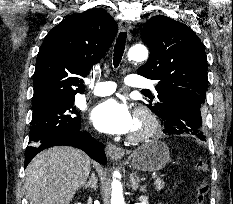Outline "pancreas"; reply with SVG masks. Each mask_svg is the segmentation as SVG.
<instances>
[{
	"instance_id": "cf45deb5",
	"label": "pancreas",
	"mask_w": 233,
	"mask_h": 204,
	"mask_svg": "<svg viewBox=\"0 0 233 204\" xmlns=\"http://www.w3.org/2000/svg\"><path fill=\"white\" fill-rule=\"evenodd\" d=\"M154 185H155V189H156V190H161V189L164 188L165 183H164L163 180L160 179V180H156V181L154 182Z\"/></svg>"
}]
</instances>
